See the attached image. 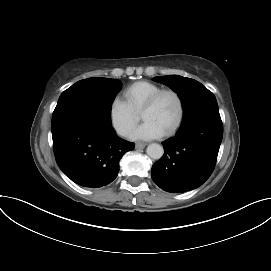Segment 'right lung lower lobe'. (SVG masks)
<instances>
[{
	"label": "right lung lower lobe",
	"mask_w": 271,
	"mask_h": 271,
	"mask_svg": "<svg viewBox=\"0 0 271 271\" xmlns=\"http://www.w3.org/2000/svg\"><path fill=\"white\" fill-rule=\"evenodd\" d=\"M59 168L76 184L96 188L118 175L119 160L134 144L119 138L100 114L71 119L51 128Z\"/></svg>",
	"instance_id": "right-lung-lower-lobe-1"
}]
</instances>
